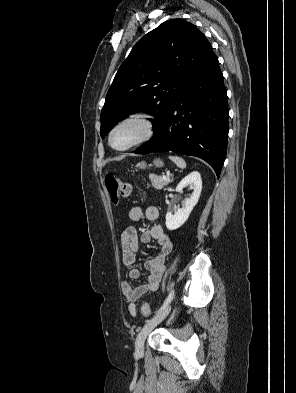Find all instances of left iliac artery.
<instances>
[{
  "label": "left iliac artery",
  "mask_w": 296,
  "mask_h": 393,
  "mask_svg": "<svg viewBox=\"0 0 296 393\" xmlns=\"http://www.w3.org/2000/svg\"><path fill=\"white\" fill-rule=\"evenodd\" d=\"M174 294H175V291L172 288L169 295L167 296L166 300L164 301L162 307L159 309V311L157 313L161 312L163 309H165L168 306V304L173 300Z\"/></svg>",
  "instance_id": "obj_1"
}]
</instances>
